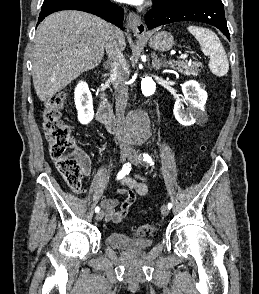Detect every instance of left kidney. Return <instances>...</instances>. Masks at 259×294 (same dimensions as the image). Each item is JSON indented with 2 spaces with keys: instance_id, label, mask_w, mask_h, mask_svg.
Instances as JSON below:
<instances>
[{
  "instance_id": "obj_1",
  "label": "left kidney",
  "mask_w": 259,
  "mask_h": 294,
  "mask_svg": "<svg viewBox=\"0 0 259 294\" xmlns=\"http://www.w3.org/2000/svg\"><path fill=\"white\" fill-rule=\"evenodd\" d=\"M182 92L184 98L175 102L174 116L180 124L191 126L206 116L204 105L207 100V92L194 80L186 81L182 86ZM186 102H189L190 106L187 111H184L183 103Z\"/></svg>"
}]
</instances>
